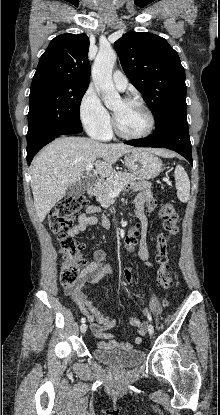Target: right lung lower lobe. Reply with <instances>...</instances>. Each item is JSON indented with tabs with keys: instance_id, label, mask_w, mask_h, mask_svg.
Listing matches in <instances>:
<instances>
[{
	"instance_id": "1",
	"label": "right lung lower lobe",
	"mask_w": 220,
	"mask_h": 415,
	"mask_svg": "<svg viewBox=\"0 0 220 415\" xmlns=\"http://www.w3.org/2000/svg\"><path fill=\"white\" fill-rule=\"evenodd\" d=\"M82 131L76 132V133H72V134H78ZM60 135H48L43 137L42 139H40L32 148L27 150V164L30 165L33 157L36 155V153L42 148L44 147L46 144L50 143L51 141H53L56 137H58Z\"/></svg>"
}]
</instances>
